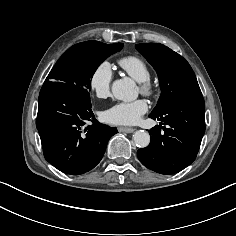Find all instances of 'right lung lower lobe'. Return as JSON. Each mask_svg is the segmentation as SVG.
I'll return each instance as SVG.
<instances>
[{
    "label": "right lung lower lobe",
    "instance_id": "98d812e1",
    "mask_svg": "<svg viewBox=\"0 0 236 236\" xmlns=\"http://www.w3.org/2000/svg\"><path fill=\"white\" fill-rule=\"evenodd\" d=\"M92 125H87L88 122ZM36 127L45 159L63 173L79 175L102 159L118 131L94 119L90 100L70 84L50 82L39 94Z\"/></svg>",
    "mask_w": 236,
    "mask_h": 236
}]
</instances>
